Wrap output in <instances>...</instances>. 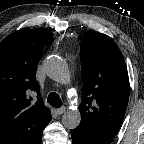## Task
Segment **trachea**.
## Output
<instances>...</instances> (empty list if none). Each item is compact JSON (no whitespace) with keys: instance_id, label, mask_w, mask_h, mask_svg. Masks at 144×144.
Listing matches in <instances>:
<instances>
[{"instance_id":"1","label":"trachea","mask_w":144,"mask_h":144,"mask_svg":"<svg viewBox=\"0 0 144 144\" xmlns=\"http://www.w3.org/2000/svg\"><path fill=\"white\" fill-rule=\"evenodd\" d=\"M47 102L52 106V107H56L59 108L62 106V101L59 97V95L55 92H52L49 94L48 98H47Z\"/></svg>"}]
</instances>
